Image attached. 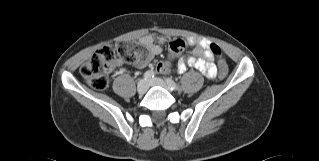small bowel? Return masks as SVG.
<instances>
[{
    "instance_id": "c3829d8e",
    "label": "small bowel",
    "mask_w": 319,
    "mask_h": 161,
    "mask_svg": "<svg viewBox=\"0 0 319 161\" xmlns=\"http://www.w3.org/2000/svg\"><path fill=\"white\" fill-rule=\"evenodd\" d=\"M188 42L195 45L192 53L186 58H181L177 63V71L182 74L186 72L190 66L202 72L206 78L215 79L217 75V65L213 62V55L210 49V43L206 40L189 37ZM160 38L154 35H147L140 39V44L147 50L148 59L158 55L161 52L159 46ZM160 63H164V67H160ZM157 64L156 70L160 73H165L169 69V65L165 62ZM123 64L122 60L118 59L114 63V67H119Z\"/></svg>"
}]
</instances>
